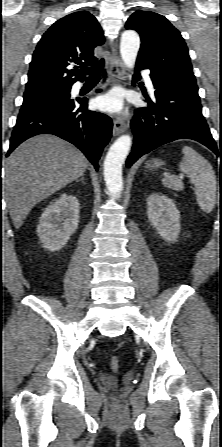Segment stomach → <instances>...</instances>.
<instances>
[{"instance_id": "0dacf381", "label": "stomach", "mask_w": 222, "mask_h": 447, "mask_svg": "<svg viewBox=\"0 0 222 447\" xmlns=\"http://www.w3.org/2000/svg\"><path fill=\"white\" fill-rule=\"evenodd\" d=\"M161 165H162V162L160 160L154 159L152 161V164L151 165L148 164L147 166L150 167V168H157V167H160Z\"/></svg>"}]
</instances>
